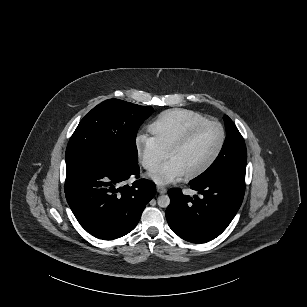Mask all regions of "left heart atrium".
<instances>
[{"instance_id":"1","label":"left heart atrium","mask_w":307,"mask_h":307,"mask_svg":"<svg viewBox=\"0 0 307 307\" xmlns=\"http://www.w3.org/2000/svg\"><path fill=\"white\" fill-rule=\"evenodd\" d=\"M149 176L158 184H168L182 179L185 175L174 163L167 161Z\"/></svg>"}]
</instances>
